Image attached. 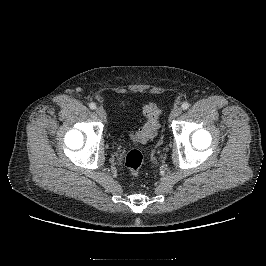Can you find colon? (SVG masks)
I'll return each mask as SVG.
<instances>
[{
	"label": "colon",
	"instance_id": "1",
	"mask_svg": "<svg viewBox=\"0 0 266 266\" xmlns=\"http://www.w3.org/2000/svg\"><path fill=\"white\" fill-rule=\"evenodd\" d=\"M160 112V107L155 103L144 106L143 114L146 117V123L139 131L132 135L134 141L146 143L156 136L159 128L158 118ZM142 163L143 155L139 150L133 149L128 152L125 159V166L132 176H139Z\"/></svg>",
	"mask_w": 266,
	"mask_h": 266
}]
</instances>
